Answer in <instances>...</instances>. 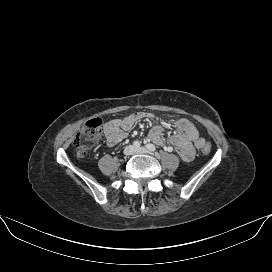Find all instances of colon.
<instances>
[{
    "instance_id": "colon-1",
    "label": "colon",
    "mask_w": 272,
    "mask_h": 272,
    "mask_svg": "<svg viewBox=\"0 0 272 272\" xmlns=\"http://www.w3.org/2000/svg\"><path fill=\"white\" fill-rule=\"evenodd\" d=\"M103 137L102 121L98 118L89 120L75 137L74 144L77 154L81 157L85 156L91 147L103 140ZM210 151L211 145L207 143L202 148V152L208 154Z\"/></svg>"
}]
</instances>
